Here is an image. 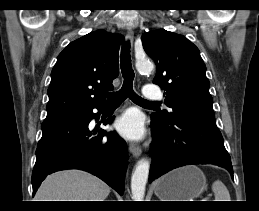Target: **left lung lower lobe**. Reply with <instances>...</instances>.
<instances>
[{
  "label": "left lung lower lobe",
  "mask_w": 259,
  "mask_h": 211,
  "mask_svg": "<svg viewBox=\"0 0 259 211\" xmlns=\"http://www.w3.org/2000/svg\"><path fill=\"white\" fill-rule=\"evenodd\" d=\"M154 142L149 181L168 171L190 164H213L227 169L233 177L231 158L215 121L182 115L166 123L151 116Z\"/></svg>",
  "instance_id": "left-lung-lower-lobe-1"
}]
</instances>
